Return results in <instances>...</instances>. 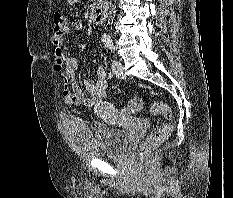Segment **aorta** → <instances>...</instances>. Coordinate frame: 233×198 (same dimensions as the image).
I'll use <instances>...</instances> for the list:
<instances>
[{
    "instance_id": "762f6f07",
    "label": "aorta",
    "mask_w": 233,
    "mask_h": 198,
    "mask_svg": "<svg viewBox=\"0 0 233 198\" xmlns=\"http://www.w3.org/2000/svg\"><path fill=\"white\" fill-rule=\"evenodd\" d=\"M109 39H110V36H108L107 34H103V36H102L103 41H107Z\"/></svg>"
}]
</instances>
